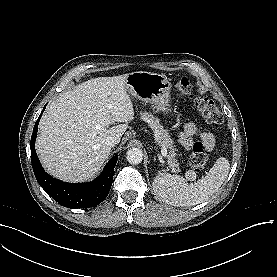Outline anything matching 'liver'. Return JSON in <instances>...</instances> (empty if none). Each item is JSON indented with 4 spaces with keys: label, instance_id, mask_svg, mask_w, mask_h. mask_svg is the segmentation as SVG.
I'll return each mask as SVG.
<instances>
[{
    "label": "liver",
    "instance_id": "6515ba94",
    "mask_svg": "<svg viewBox=\"0 0 277 277\" xmlns=\"http://www.w3.org/2000/svg\"><path fill=\"white\" fill-rule=\"evenodd\" d=\"M127 75L85 81L49 105L39 122L36 152L50 175L83 182L100 171L111 152L107 137L120 141L134 118ZM115 122L123 124L109 128Z\"/></svg>",
    "mask_w": 277,
    "mask_h": 277
}]
</instances>
